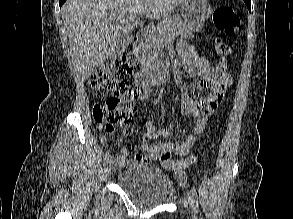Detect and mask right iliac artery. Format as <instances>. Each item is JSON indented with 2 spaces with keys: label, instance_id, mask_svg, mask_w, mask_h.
Returning a JSON list of instances; mask_svg holds the SVG:
<instances>
[{
  "label": "right iliac artery",
  "instance_id": "right-iliac-artery-1",
  "mask_svg": "<svg viewBox=\"0 0 293 219\" xmlns=\"http://www.w3.org/2000/svg\"><path fill=\"white\" fill-rule=\"evenodd\" d=\"M110 159H111V155L109 154V152H107L104 156L105 163H108Z\"/></svg>",
  "mask_w": 293,
  "mask_h": 219
}]
</instances>
